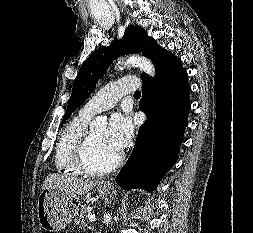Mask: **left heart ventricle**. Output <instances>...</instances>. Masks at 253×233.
Segmentation results:
<instances>
[{"instance_id":"obj_1","label":"left heart ventricle","mask_w":253,"mask_h":233,"mask_svg":"<svg viewBox=\"0 0 253 233\" xmlns=\"http://www.w3.org/2000/svg\"><path fill=\"white\" fill-rule=\"evenodd\" d=\"M92 148L90 151V159L97 166L104 165L113 160L119 152L112 150L104 141V129H98L91 132Z\"/></svg>"}]
</instances>
